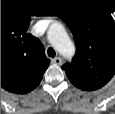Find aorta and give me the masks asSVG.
Returning <instances> with one entry per match:
<instances>
[{
	"mask_svg": "<svg viewBox=\"0 0 115 114\" xmlns=\"http://www.w3.org/2000/svg\"><path fill=\"white\" fill-rule=\"evenodd\" d=\"M49 38L57 50L65 57H71L75 48L65 29L56 25L49 31Z\"/></svg>",
	"mask_w": 115,
	"mask_h": 114,
	"instance_id": "1",
	"label": "aorta"
}]
</instances>
